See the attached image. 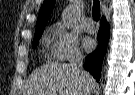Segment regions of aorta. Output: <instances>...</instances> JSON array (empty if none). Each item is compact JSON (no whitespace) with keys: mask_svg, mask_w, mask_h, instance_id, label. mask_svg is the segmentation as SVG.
I'll list each match as a JSON object with an SVG mask.
<instances>
[{"mask_svg":"<svg viewBox=\"0 0 135 95\" xmlns=\"http://www.w3.org/2000/svg\"><path fill=\"white\" fill-rule=\"evenodd\" d=\"M62 23L66 28H71L74 23V12L71 8L67 9L62 15Z\"/></svg>","mask_w":135,"mask_h":95,"instance_id":"1","label":"aorta"}]
</instances>
